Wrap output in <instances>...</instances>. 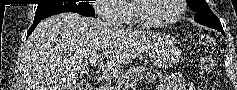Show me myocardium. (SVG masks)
<instances>
[{
	"instance_id": "f54148a6",
	"label": "myocardium",
	"mask_w": 237,
	"mask_h": 90,
	"mask_svg": "<svg viewBox=\"0 0 237 90\" xmlns=\"http://www.w3.org/2000/svg\"><path fill=\"white\" fill-rule=\"evenodd\" d=\"M140 1H149V0H138V1H132V4L134 6V12L137 20L139 21L142 28H163V27H171L175 24H177L184 12H185V5L183 3H187L188 0H176L175 4L177 6V11L174 17L171 20L168 21H150L146 19L140 12L139 3Z\"/></svg>"
}]
</instances>
